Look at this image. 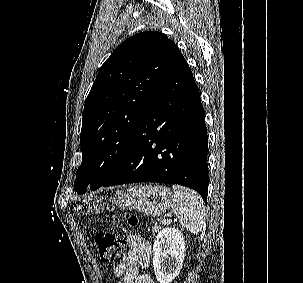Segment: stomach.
<instances>
[{
  "mask_svg": "<svg viewBox=\"0 0 303 283\" xmlns=\"http://www.w3.org/2000/svg\"><path fill=\"white\" fill-rule=\"evenodd\" d=\"M173 195L169 188L162 185H149L118 191L108 201L95 199L87 206L89 212H99L106 204L137 210L148 216H160L171 206Z\"/></svg>",
  "mask_w": 303,
  "mask_h": 283,
  "instance_id": "0dacf381",
  "label": "stomach"
}]
</instances>
